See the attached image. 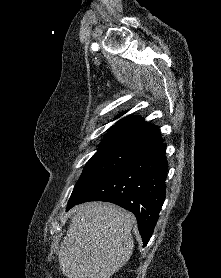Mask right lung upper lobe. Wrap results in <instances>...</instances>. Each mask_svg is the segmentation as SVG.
I'll use <instances>...</instances> for the list:
<instances>
[{
    "label": "right lung upper lobe",
    "instance_id": "obj_1",
    "mask_svg": "<svg viewBox=\"0 0 221 278\" xmlns=\"http://www.w3.org/2000/svg\"><path fill=\"white\" fill-rule=\"evenodd\" d=\"M105 141H114L134 148H141L163 140L160 136V130L156 126L146 123L141 117L132 116L120 120L115 126H112L102 140V142Z\"/></svg>",
    "mask_w": 221,
    "mask_h": 278
}]
</instances>
